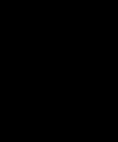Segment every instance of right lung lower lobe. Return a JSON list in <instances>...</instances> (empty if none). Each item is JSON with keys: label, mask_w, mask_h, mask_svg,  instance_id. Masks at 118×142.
<instances>
[{"label": "right lung lower lobe", "mask_w": 118, "mask_h": 142, "mask_svg": "<svg viewBox=\"0 0 118 142\" xmlns=\"http://www.w3.org/2000/svg\"><path fill=\"white\" fill-rule=\"evenodd\" d=\"M41 108H42V105H40L37 112L34 114V116L25 125L20 127L17 131H14L15 133L5 134V135L12 136V138H11L12 140H10L11 142H15L16 141L15 139H17L18 137L29 133V131L33 128L34 122L36 121L38 113H39Z\"/></svg>", "instance_id": "obj_1"}]
</instances>
